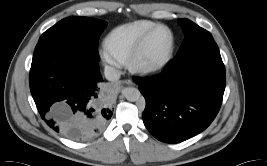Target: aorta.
Masks as SVG:
<instances>
[{
    "instance_id": "762f6f07",
    "label": "aorta",
    "mask_w": 267,
    "mask_h": 166,
    "mask_svg": "<svg viewBox=\"0 0 267 166\" xmlns=\"http://www.w3.org/2000/svg\"><path fill=\"white\" fill-rule=\"evenodd\" d=\"M124 96L128 101L135 102L141 98V93L135 87H128L124 90Z\"/></svg>"
}]
</instances>
